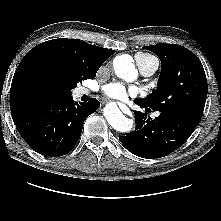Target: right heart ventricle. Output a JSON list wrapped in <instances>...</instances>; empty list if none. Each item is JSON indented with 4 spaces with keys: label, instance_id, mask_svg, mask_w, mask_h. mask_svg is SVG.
I'll use <instances>...</instances> for the list:
<instances>
[{
    "label": "right heart ventricle",
    "instance_id": "obj_1",
    "mask_svg": "<svg viewBox=\"0 0 221 221\" xmlns=\"http://www.w3.org/2000/svg\"><path fill=\"white\" fill-rule=\"evenodd\" d=\"M136 57L141 61L156 60V58L154 56L147 54V53H138V54H136Z\"/></svg>",
    "mask_w": 221,
    "mask_h": 221
}]
</instances>
